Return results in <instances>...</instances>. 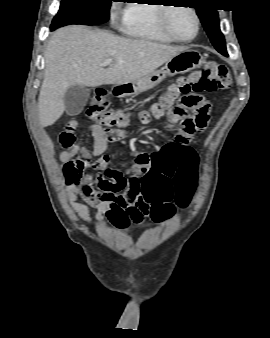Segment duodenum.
I'll return each instance as SVG.
<instances>
[{"label":"duodenum","instance_id":"obj_1","mask_svg":"<svg viewBox=\"0 0 270 338\" xmlns=\"http://www.w3.org/2000/svg\"><path fill=\"white\" fill-rule=\"evenodd\" d=\"M114 92H115L116 95H120L122 93V90L120 88H118V89H115Z\"/></svg>","mask_w":270,"mask_h":338}]
</instances>
